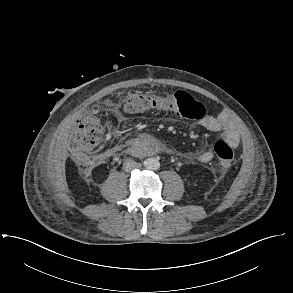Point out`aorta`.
I'll return each instance as SVG.
<instances>
[{
  "label": "aorta",
  "mask_w": 293,
  "mask_h": 293,
  "mask_svg": "<svg viewBox=\"0 0 293 293\" xmlns=\"http://www.w3.org/2000/svg\"><path fill=\"white\" fill-rule=\"evenodd\" d=\"M144 166L150 170H157L160 167V162L156 158H147L144 162Z\"/></svg>",
  "instance_id": "762f6f07"
}]
</instances>
